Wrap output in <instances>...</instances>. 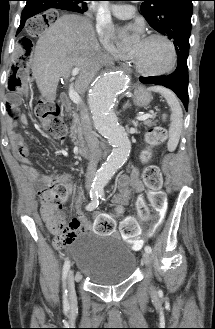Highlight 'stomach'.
I'll return each instance as SVG.
<instances>
[{"instance_id": "stomach-1", "label": "stomach", "mask_w": 215, "mask_h": 329, "mask_svg": "<svg viewBox=\"0 0 215 329\" xmlns=\"http://www.w3.org/2000/svg\"><path fill=\"white\" fill-rule=\"evenodd\" d=\"M152 100L151 94L146 91L143 87H138L134 91V98L133 101L136 106L138 107H146Z\"/></svg>"}]
</instances>
